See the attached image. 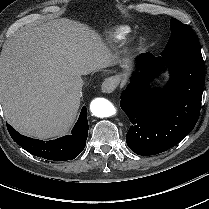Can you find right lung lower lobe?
I'll return each instance as SVG.
<instances>
[{"instance_id":"98d812e1","label":"right lung lower lobe","mask_w":209,"mask_h":209,"mask_svg":"<svg viewBox=\"0 0 209 209\" xmlns=\"http://www.w3.org/2000/svg\"><path fill=\"white\" fill-rule=\"evenodd\" d=\"M12 139L29 153L54 161H66L76 158L85 148L89 130L87 109L82 108L79 119L75 124L72 134L44 142L19 134L10 125H7Z\"/></svg>"}]
</instances>
